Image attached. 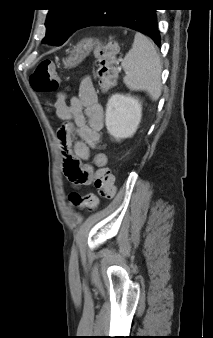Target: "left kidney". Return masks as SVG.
I'll return each instance as SVG.
<instances>
[{
	"label": "left kidney",
	"mask_w": 213,
	"mask_h": 338,
	"mask_svg": "<svg viewBox=\"0 0 213 338\" xmlns=\"http://www.w3.org/2000/svg\"><path fill=\"white\" fill-rule=\"evenodd\" d=\"M105 125L117 141L129 138L136 132L142 117L141 102L130 95L114 94L106 107Z\"/></svg>",
	"instance_id": "obj_1"
}]
</instances>
